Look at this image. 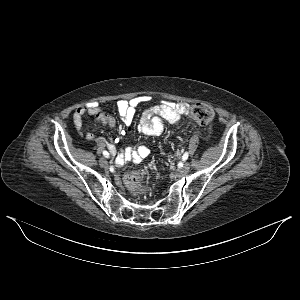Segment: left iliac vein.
Returning <instances> with one entry per match:
<instances>
[{
  "label": "left iliac vein",
  "instance_id": "left-iliac-vein-1",
  "mask_svg": "<svg viewBox=\"0 0 300 300\" xmlns=\"http://www.w3.org/2000/svg\"><path fill=\"white\" fill-rule=\"evenodd\" d=\"M190 167H191V166H190V163L186 162V163L183 165V167H181L180 169H178V170L176 171V175L179 176V177L185 176V175L189 172Z\"/></svg>",
  "mask_w": 300,
  "mask_h": 300
}]
</instances>
